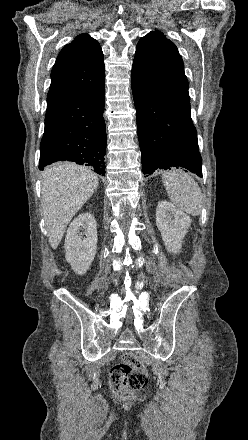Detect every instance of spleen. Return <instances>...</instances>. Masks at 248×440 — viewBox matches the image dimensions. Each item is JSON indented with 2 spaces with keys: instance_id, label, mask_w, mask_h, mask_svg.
I'll use <instances>...</instances> for the list:
<instances>
[{
  "instance_id": "obj_1",
  "label": "spleen",
  "mask_w": 248,
  "mask_h": 440,
  "mask_svg": "<svg viewBox=\"0 0 248 440\" xmlns=\"http://www.w3.org/2000/svg\"><path fill=\"white\" fill-rule=\"evenodd\" d=\"M162 181L174 205L190 215H200L202 193L199 185L190 175L173 169L163 174Z\"/></svg>"
}]
</instances>
